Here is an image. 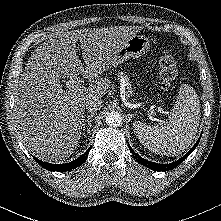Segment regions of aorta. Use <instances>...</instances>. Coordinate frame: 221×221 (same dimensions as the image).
<instances>
[{
  "mask_svg": "<svg viewBox=\"0 0 221 221\" xmlns=\"http://www.w3.org/2000/svg\"><path fill=\"white\" fill-rule=\"evenodd\" d=\"M122 116L117 111H112L106 116V123L112 127H118L122 124Z\"/></svg>",
  "mask_w": 221,
  "mask_h": 221,
  "instance_id": "1",
  "label": "aorta"
}]
</instances>
